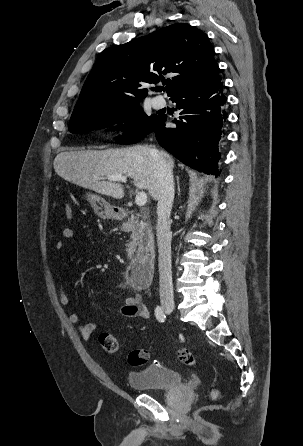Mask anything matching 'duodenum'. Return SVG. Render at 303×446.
I'll return each mask as SVG.
<instances>
[{
    "mask_svg": "<svg viewBox=\"0 0 303 446\" xmlns=\"http://www.w3.org/2000/svg\"><path fill=\"white\" fill-rule=\"evenodd\" d=\"M121 217L126 216V212H120ZM154 272V261L149 256L134 258L128 269V280L135 289H142L148 286L152 280Z\"/></svg>",
    "mask_w": 303,
    "mask_h": 446,
    "instance_id": "duodenum-1",
    "label": "duodenum"
}]
</instances>
